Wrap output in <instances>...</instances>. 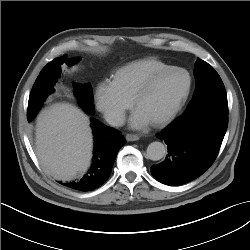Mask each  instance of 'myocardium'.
<instances>
[{"instance_id":"obj_1","label":"myocardium","mask_w":250,"mask_h":250,"mask_svg":"<svg viewBox=\"0 0 250 250\" xmlns=\"http://www.w3.org/2000/svg\"><path fill=\"white\" fill-rule=\"evenodd\" d=\"M174 71H180V72H184L186 74L187 79H188L187 87H186L183 95L181 96V98L174 105V107L166 115H164L160 119L152 122V125L155 127H162V126L166 125L167 123H169L178 114V112L182 109V107L185 105V103L190 95L191 89H192V76H191L190 72L187 69H185L183 67H178V66H170V67L161 69V70L155 72L154 74H152L141 85V87L137 90V92L133 98V104L135 107H137V104L139 103V101L152 90V88L154 87L156 82L161 77H163L164 75H166L170 72H174Z\"/></svg>"}]
</instances>
